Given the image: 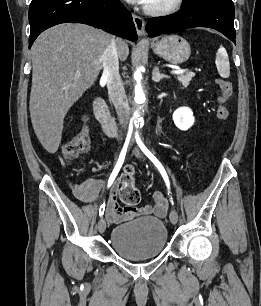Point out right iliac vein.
Masks as SVG:
<instances>
[{
	"instance_id": "obj_1",
	"label": "right iliac vein",
	"mask_w": 261,
	"mask_h": 306,
	"mask_svg": "<svg viewBox=\"0 0 261 306\" xmlns=\"http://www.w3.org/2000/svg\"><path fill=\"white\" fill-rule=\"evenodd\" d=\"M106 229V221L104 218H101L98 222V230L100 233H103Z\"/></svg>"
}]
</instances>
